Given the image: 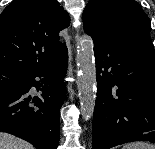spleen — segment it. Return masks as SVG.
I'll return each mask as SVG.
<instances>
[{
    "mask_svg": "<svg viewBox=\"0 0 155 149\" xmlns=\"http://www.w3.org/2000/svg\"><path fill=\"white\" fill-rule=\"evenodd\" d=\"M122 149H155V145L146 142L128 143Z\"/></svg>",
    "mask_w": 155,
    "mask_h": 149,
    "instance_id": "spleen-1",
    "label": "spleen"
}]
</instances>
